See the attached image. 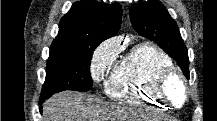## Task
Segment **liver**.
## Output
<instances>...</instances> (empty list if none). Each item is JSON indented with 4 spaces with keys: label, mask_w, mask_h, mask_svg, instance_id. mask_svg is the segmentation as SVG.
Here are the masks:
<instances>
[{
    "label": "liver",
    "mask_w": 217,
    "mask_h": 121,
    "mask_svg": "<svg viewBox=\"0 0 217 121\" xmlns=\"http://www.w3.org/2000/svg\"><path fill=\"white\" fill-rule=\"evenodd\" d=\"M139 116L131 108L104 104L73 91L53 95L43 108L44 121H135Z\"/></svg>",
    "instance_id": "liver-1"
}]
</instances>
